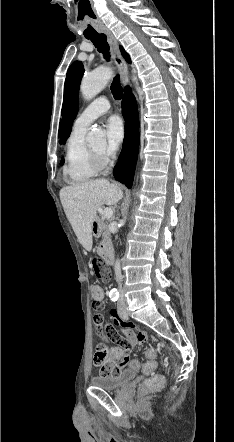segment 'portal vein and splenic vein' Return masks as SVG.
I'll use <instances>...</instances> for the list:
<instances>
[{
    "label": "portal vein and splenic vein",
    "mask_w": 234,
    "mask_h": 442,
    "mask_svg": "<svg viewBox=\"0 0 234 442\" xmlns=\"http://www.w3.org/2000/svg\"><path fill=\"white\" fill-rule=\"evenodd\" d=\"M103 215L105 218L109 219L113 216V210L111 208H105L103 211Z\"/></svg>",
    "instance_id": "portal-vein-and-splenic-vein-1"
}]
</instances>
